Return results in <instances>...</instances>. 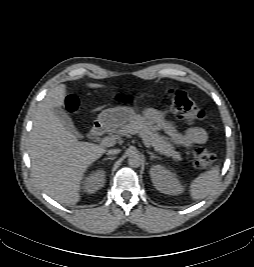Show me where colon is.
Instances as JSON below:
<instances>
[{
    "label": "colon",
    "instance_id": "5ec220e1",
    "mask_svg": "<svg viewBox=\"0 0 254 267\" xmlns=\"http://www.w3.org/2000/svg\"><path fill=\"white\" fill-rule=\"evenodd\" d=\"M170 108L173 113L181 119L187 121H197L204 117V112L196 105L189 95L178 89H171L168 92ZM65 105L68 111L77 110L79 101L76 96L69 95L66 97ZM215 161V154L205 148L197 147L193 151V165L198 169L211 166Z\"/></svg>",
    "mask_w": 254,
    "mask_h": 267
}]
</instances>
